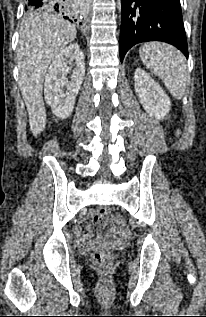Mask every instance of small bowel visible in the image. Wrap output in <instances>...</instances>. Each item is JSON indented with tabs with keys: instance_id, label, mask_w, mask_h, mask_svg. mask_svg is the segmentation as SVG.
<instances>
[{
	"instance_id": "obj_1",
	"label": "small bowel",
	"mask_w": 206,
	"mask_h": 317,
	"mask_svg": "<svg viewBox=\"0 0 206 317\" xmlns=\"http://www.w3.org/2000/svg\"><path fill=\"white\" fill-rule=\"evenodd\" d=\"M89 216H90L92 219H94V220H98V219H99L95 211H91V212L89 213ZM76 235H77L79 241H80L83 245L89 244L90 238H91V233H90V232H84L81 227H77V228H76ZM118 235H119L120 241L126 242V241L128 240V238H129V231H128V229L123 225V226H121V227H118ZM114 237H115V234H114L113 231H109V232L107 233V238H108V239L113 240Z\"/></svg>"
}]
</instances>
